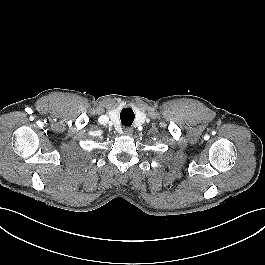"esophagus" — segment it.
Masks as SVG:
<instances>
[{
	"label": "esophagus",
	"instance_id": "1",
	"mask_svg": "<svg viewBox=\"0 0 265 265\" xmlns=\"http://www.w3.org/2000/svg\"><path fill=\"white\" fill-rule=\"evenodd\" d=\"M133 134V129L131 127L124 128V135L131 136Z\"/></svg>",
	"mask_w": 265,
	"mask_h": 265
}]
</instances>
